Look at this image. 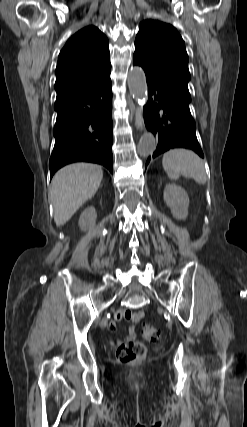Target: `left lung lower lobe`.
Returning <instances> with one entry per match:
<instances>
[{
  "label": "left lung lower lobe",
  "mask_w": 247,
  "mask_h": 427,
  "mask_svg": "<svg viewBox=\"0 0 247 427\" xmlns=\"http://www.w3.org/2000/svg\"><path fill=\"white\" fill-rule=\"evenodd\" d=\"M147 84L149 99L144 120L148 130L158 136L153 158L173 148L190 149L203 158L189 103L153 81L147 80ZM150 160L151 157L147 159L146 166Z\"/></svg>",
  "instance_id": "0a47b994"
}]
</instances>
